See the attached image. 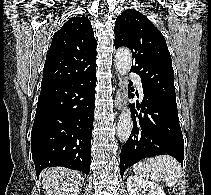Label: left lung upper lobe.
Wrapping results in <instances>:
<instances>
[{
    "mask_svg": "<svg viewBox=\"0 0 211 195\" xmlns=\"http://www.w3.org/2000/svg\"><path fill=\"white\" fill-rule=\"evenodd\" d=\"M114 33L115 47L131 50V71L140 76L143 90L177 106L172 60L162 33L136 10L117 17Z\"/></svg>",
    "mask_w": 211,
    "mask_h": 195,
    "instance_id": "1",
    "label": "left lung upper lobe"
}]
</instances>
